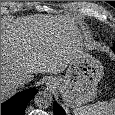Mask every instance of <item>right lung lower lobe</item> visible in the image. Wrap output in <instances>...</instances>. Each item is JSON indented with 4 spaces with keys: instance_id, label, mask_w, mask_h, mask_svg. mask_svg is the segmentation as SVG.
<instances>
[{
    "instance_id": "obj_1",
    "label": "right lung lower lobe",
    "mask_w": 115,
    "mask_h": 115,
    "mask_svg": "<svg viewBox=\"0 0 115 115\" xmlns=\"http://www.w3.org/2000/svg\"><path fill=\"white\" fill-rule=\"evenodd\" d=\"M35 94V88L19 92L8 101L1 104V115H24L28 102Z\"/></svg>"
}]
</instances>
